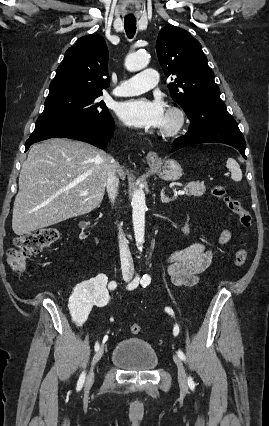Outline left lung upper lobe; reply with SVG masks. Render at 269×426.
I'll use <instances>...</instances> for the list:
<instances>
[{
	"instance_id": "5c2ea615",
	"label": "left lung upper lobe",
	"mask_w": 269,
	"mask_h": 426,
	"mask_svg": "<svg viewBox=\"0 0 269 426\" xmlns=\"http://www.w3.org/2000/svg\"><path fill=\"white\" fill-rule=\"evenodd\" d=\"M156 50L165 75L174 76L168 85L171 97L187 115L199 107L224 104L201 44L187 31L173 25L163 27Z\"/></svg>"
}]
</instances>
